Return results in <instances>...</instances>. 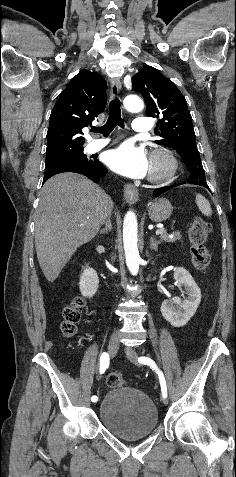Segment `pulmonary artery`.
<instances>
[{"instance_id": "e3ab8cb5", "label": "pulmonary artery", "mask_w": 236, "mask_h": 477, "mask_svg": "<svg viewBox=\"0 0 236 477\" xmlns=\"http://www.w3.org/2000/svg\"><path fill=\"white\" fill-rule=\"evenodd\" d=\"M151 123L148 118H136L133 121L132 129L137 133H145L151 130ZM109 139H98L92 142V150L98 151L104 148L108 143Z\"/></svg>"}]
</instances>
